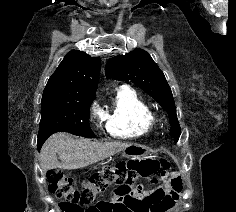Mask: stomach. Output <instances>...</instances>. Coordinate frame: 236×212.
Masks as SVG:
<instances>
[{
    "instance_id": "obj_1",
    "label": "stomach",
    "mask_w": 236,
    "mask_h": 212,
    "mask_svg": "<svg viewBox=\"0 0 236 212\" xmlns=\"http://www.w3.org/2000/svg\"><path fill=\"white\" fill-rule=\"evenodd\" d=\"M123 156L126 158H142L148 155V148L138 144H132L123 149Z\"/></svg>"
}]
</instances>
